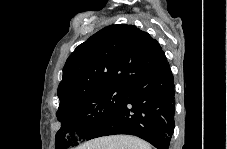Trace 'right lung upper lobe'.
I'll use <instances>...</instances> for the list:
<instances>
[{"instance_id": "1", "label": "right lung upper lobe", "mask_w": 227, "mask_h": 149, "mask_svg": "<svg viewBox=\"0 0 227 149\" xmlns=\"http://www.w3.org/2000/svg\"><path fill=\"white\" fill-rule=\"evenodd\" d=\"M167 62L160 44L134 25H110L80 44L67 59L58 86L59 109L110 85L128 87Z\"/></svg>"}]
</instances>
